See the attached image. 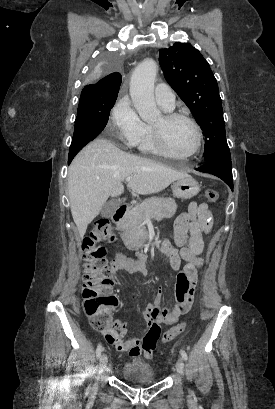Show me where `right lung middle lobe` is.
<instances>
[{"instance_id":"obj_1","label":"right lung middle lobe","mask_w":275,"mask_h":409,"mask_svg":"<svg viewBox=\"0 0 275 409\" xmlns=\"http://www.w3.org/2000/svg\"><path fill=\"white\" fill-rule=\"evenodd\" d=\"M95 57L89 76H85V85H98L104 73H121L122 58L113 57L112 50H100ZM115 99H92L80 97L75 120L73 140L69 149L68 164L75 155L105 128Z\"/></svg>"}]
</instances>
